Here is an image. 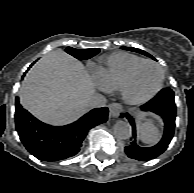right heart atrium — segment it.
<instances>
[{"label": "right heart atrium", "mask_w": 194, "mask_h": 193, "mask_svg": "<svg viewBox=\"0 0 194 193\" xmlns=\"http://www.w3.org/2000/svg\"><path fill=\"white\" fill-rule=\"evenodd\" d=\"M89 72L92 84L96 89L102 92H107L110 90V87L100 77L98 70L94 65H89Z\"/></svg>", "instance_id": "right-heart-atrium-1"}]
</instances>
